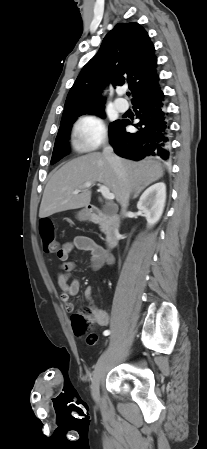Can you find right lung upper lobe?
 <instances>
[{
  "instance_id": "cb5924a9",
  "label": "right lung upper lobe",
  "mask_w": 207,
  "mask_h": 449,
  "mask_svg": "<svg viewBox=\"0 0 207 449\" xmlns=\"http://www.w3.org/2000/svg\"><path fill=\"white\" fill-rule=\"evenodd\" d=\"M147 32L137 23H119L104 38L98 53L82 68L71 87L62 120L104 109L105 84H127L132 102L159 89L157 58Z\"/></svg>"
}]
</instances>
